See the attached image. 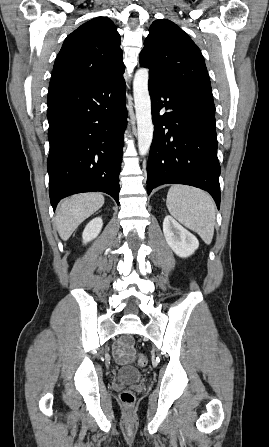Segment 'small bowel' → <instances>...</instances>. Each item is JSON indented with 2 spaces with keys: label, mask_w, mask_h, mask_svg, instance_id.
Masks as SVG:
<instances>
[{
  "label": "small bowel",
  "mask_w": 269,
  "mask_h": 447,
  "mask_svg": "<svg viewBox=\"0 0 269 447\" xmlns=\"http://www.w3.org/2000/svg\"><path fill=\"white\" fill-rule=\"evenodd\" d=\"M134 337L135 334L133 332L125 333L126 339H133ZM128 350L129 348L124 345L122 340H120V342L114 347L113 355L120 364H124L128 361L129 359Z\"/></svg>",
  "instance_id": "1"
}]
</instances>
